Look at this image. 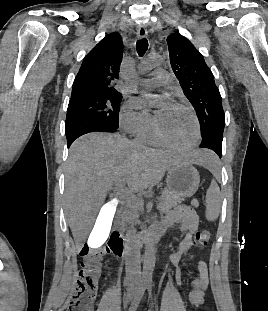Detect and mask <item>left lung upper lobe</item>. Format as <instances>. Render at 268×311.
<instances>
[{
	"instance_id": "5c2ea615",
	"label": "left lung upper lobe",
	"mask_w": 268,
	"mask_h": 311,
	"mask_svg": "<svg viewBox=\"0 0 268 311\" xmlns=\"http://www.w3.org/2000/svg\"><path fill=\"white\" fill-rule=\"evenodd\" d=\"M167 43L171 67L196 111L202 139L223 137L225 114L222 98L203 56L179 33L170 34Z\"/></svg>"
}]
</instances>
